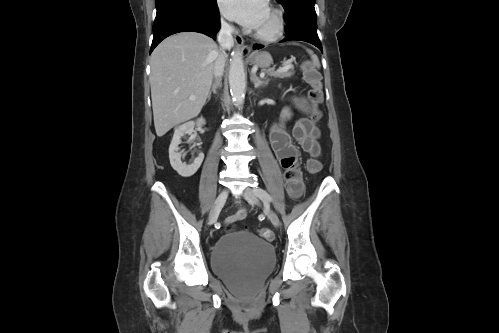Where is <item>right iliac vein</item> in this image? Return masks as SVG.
<instances>
[{
	"label": "right iliac vein",
	"instance_id": "1",
	"mask_svg": "<svg viewBox=\"0 0 499 333\" xmlns=\"http://www.w3.org/2000/svg\"><path fill=\"white\" fill-rule=\"evenodd\" d=\"M227 197H228V190L224 189L216 198L209 213V218H208L209 225H212L214 222H216L218 215L221 211V208L224 205L225 201L227 200Z\"/></svg>",
	"mask_w": 499,
	"mask_h": 333
}]
</instances>
